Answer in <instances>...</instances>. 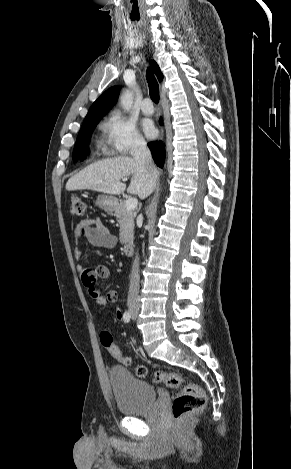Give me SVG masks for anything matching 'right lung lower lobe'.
<instances>
[{"label": "right lung lower lobe", "mask_w": 291, "mask_h": 469, "mask_svg": "<svg viewBox=\"0 0 291 469\" xmlns=\"http://www.w3.org/2000/svg\"><path fill=\"white\" fill-rule=\"evenodd\" d=\"M160 123L162 124V119H160ZM148 147L151 150L152 157L155 163L159 167H163L164 159H165V148L161 142H150L148 143Z\"/></svg>", "instance_id": "obj_1"}]
</instances>
